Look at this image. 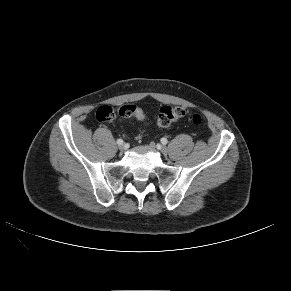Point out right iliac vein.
Instances as JSON below:
<instances>
[{"mask_svg":"<svg viewBox=\"0 0 291 291\" xmlns=\"http://www.w3.org/2000/svg\"><path fill=\"white\" fill-rule=\"evenodd\" d=\"M118 148H119L120 151H124L125 150V145L124 144H120L118 146Z\"/></svg>","mask_w":291,"mask_h":291,"instance_id":"obj_1","label":"right iliac vein"}]
</instances>
